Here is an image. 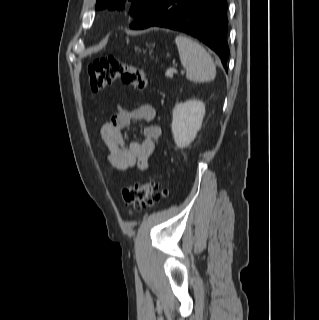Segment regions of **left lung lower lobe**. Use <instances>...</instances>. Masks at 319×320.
Instances as JSON below:
<instances>
[{
	"label": "left lung lower lobe",
	"instance_id": "0a47b994",
	"mask_svg": "<svg viewBox=\"0 0 319 320\" xmlns=\"http://www.w3.org/2000/svg\"><path fill=\"white\" fill-rule=\"evenodd\" d=\"M152 26L179 30L197 38L219 56L227 71V0H158L130 28Z\"/></svg>",
	"mask_w": 319,
	"mask_h": 320
}]
</instances>
